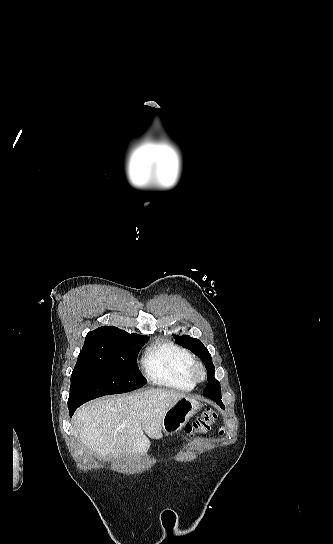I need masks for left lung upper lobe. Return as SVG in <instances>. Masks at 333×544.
Listing matches in <instances>:
<instances>
[{"label":"left lung upper lobe","instance_id":"5c2ea615","mask_svg":"<svg viewBox=\"0 0 333 544\" xmlns=\"http://www.w3.org/2000/svg\"><path fill=\"white\" fill-rule=\"evenodd\" d=\"M176 341L182 345L183 347L191 350L196 356H199L200 359L205 364L206 370H207V380L208 383L206 385V388L203 391L204 393H210V392H221L220 389V383L214 378L215 373V367L212 363V357L206 347L202 344V342L198 339L191 338L188 335L183 336H175Z\"/></svg>","mask_w":333,"mask_h":544}]
</instances>
